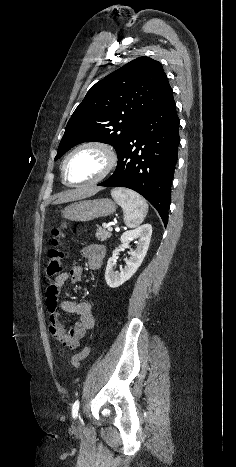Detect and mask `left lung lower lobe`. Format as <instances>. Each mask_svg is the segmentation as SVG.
Wrapping results in <instances>:
<instances>
[{
    "mask_svg": "<svg viewBox=\"0 0 236 467\" xmlns=\"http://www.w3.org/2000/svg\"><path fill=\"white\" fill-rule=\"evenodd\" d=\"M179 118L170 89L130 132L113 175L99 186L126 187L145 197L168 222L177 162Z\"/></svg>",
    "mask_w": 236,
    "mask_h": 467,
    "instance_id": "0a47b994",
    "label": "left lung lower lobe"
}]
</instances>
